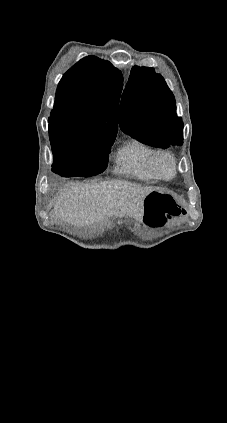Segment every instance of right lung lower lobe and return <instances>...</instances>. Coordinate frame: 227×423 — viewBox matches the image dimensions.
<instances>
[{
	"instance_id": "98d812e1",
	"label": "right lung lower lobe",
	"mask_w": 227,
	"mask_h": 423,
	"mask_svg": "<svg viewBox=\"0 0 227 423\" xmlns=\"http://www.w3.org/2000/svg\"><path fill=\"white\" fill-rule=\"evenodd\" d=\"M52 167H53L52 169L53 172L58 173L59 175L64 177H70L73 170L71 166L64 165V164H53Z\"/></svg>"
}]
</instances>
